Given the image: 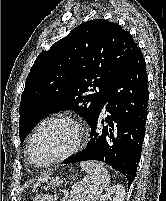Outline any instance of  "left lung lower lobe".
Masks as SVG:
<instances>
[{"instance_id":"0a47b994","label":"left lung lower lobe","mask_w":166,"mask_h":201,"mask_svg":"<svg viewBox=\"0 0 166 201\" xmlns=\"http://www.w3.org/2000/svg\"><path fill=\"white\" fill-rule=\"evenodd\" d=\"M147 73L143 54L137 47L130 62L112 83L89 122L91 138L79 154L64 163L99 160L123 173L129 186L139 163L145 134L148 103ZM106 118L101 117L105 103ZM107 122L106 126H101Z\"/></svg>"}]
</instances>
